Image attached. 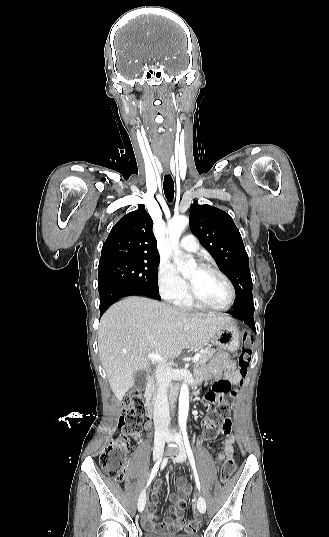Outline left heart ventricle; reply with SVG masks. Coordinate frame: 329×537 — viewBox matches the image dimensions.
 Returning <instances> with one entry per match:
<instances>
[{
	"label": "left heart ventricle",
	"mask_w": 329,
	"mask_h": 537,
	"mask_svg": "<svg viewBox=\"0 0 329 537\" xmlns=\"http://www.w3.org/2000/svg\"><path fill=\"white\" fill-rule=\"evenodd\" d=\"M194 293L204 302L214 306H223L230 299V292L225 281L216 273L194 265L186 274Z\"/></svg>",
	"instance_id": "obj_1"
}]
</instances>
